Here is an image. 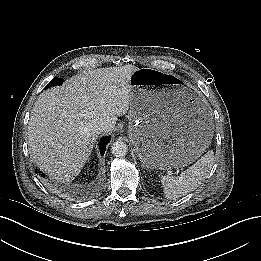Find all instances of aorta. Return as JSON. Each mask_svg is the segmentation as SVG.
Returning a JSON list of instances; mask_svg holds the SVG:
<instances>
[{
    "mask_svg": "<svg viewBox=\"0 0 261 261\" xmlns=\"http://www.w3.org/2000/svg\"><path fill=\"white\" fill-rule=\"evenodd\" d=\"M111 151L115 157H124L127 154L128 145L122 140H117L112 144Z\"/></svg>",
    "mask_w": 261,
    "mask_h": 261,
    "instance_id": "762f6f07",
    "label": "aorta"
}]
</instances>
